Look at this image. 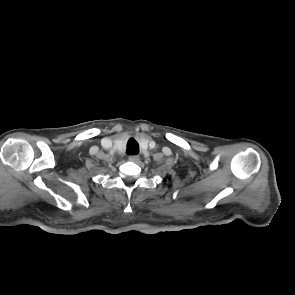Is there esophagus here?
I'll return each mask as SVG.
<instances>
[{"label":"esophagus","instance_id":"34e87169","mask_svg":"<svg viewBox=\"0 0 295 295\" xmlns=\"http://www.w3.org/2000/svg\"><path fill=\"white\" fill-rule=\"evenodd\" d=\"M128 159L131 162H137L139 160V157L137 155H130Z\"/></svg>","mask_w":295,"mask_h":295}]
</instances>
